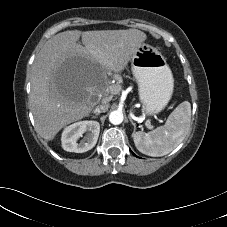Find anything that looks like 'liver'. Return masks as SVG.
<instances>
[{"instance_id":"1","label":"liver","mask_w":227,"mask_h":227,"mask_svg":"<svg viewBox=\"0 0 227 227\" xmlns=\"http://www.w3.org/2000/svg\"><path fill=\"white\" fill-rule=\"evenodd\" d=\"M82 39V45L78 40ZM147 39L144 32L127 30H68L50 38L37 54L31 71V111L37 133L53 140L66 125L90 114L94 94L107 96L110 89L95 78V65L122 72ZM72 60L82 64L89 75L86 89L75 96L61 93L54 82L57 68Z\"/></svg>"}]
</instances>
